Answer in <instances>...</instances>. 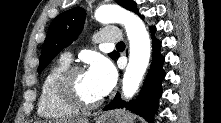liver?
I'll use <instances>...</instances> for the list:
<instances>
[{
    "mask_svg": "<svg viewBox=\"0 0 221 123\" xmlns=\"http://www.w3.org/2000/svg\"><path fill=\"white\" fill-rule=\"evenodd\" d=\"M71 123H83L85 122L84 120L78 119V120H71Z\"/></svg>",
    "mask_w": 221,
    "mask_h": 123,
    "instance_id": "1",
    "label": "liver"
}]
</instances>
